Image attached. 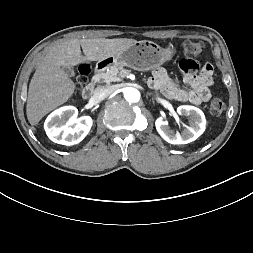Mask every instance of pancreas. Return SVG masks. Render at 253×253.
Returning a JSON list of instances; mask_svg holds the SVG:
<instances>
[{
	"instance_id": "obj_1",
	"label": "pancreas",
	"mask_w": 253,
	"mask_h": 253,
	"mask_svg": "<svg viewBox=\"0 0 253 253\" xmlns=\"http://www.w3.org/2000/svg\"><path fill=\"white\" fill-rule=\"evenodd\" d=\"M123 68L118 66H111L107 72L100 75V78L105 83L119 82L121 81L120 72Z\"/></svg>"
}]
</instances>
